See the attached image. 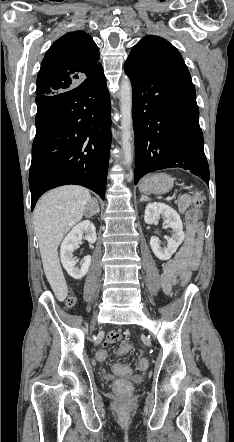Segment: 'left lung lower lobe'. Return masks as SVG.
Here are the masks:
<instances>
[{
	"mask_svg": "<svg viewBox=\"0 0 234 442\" xmlns=\"http://www.w3.org/2000/svg\"><path fill=\"white\" fill-rule=\"evenodd\" d=\"M124 69L133 88L134 183L149 172L179 167L209 185V166L189 71L147 68L129 61Z\"/></svg>",
	"mask_w": 234,
	"mask_h": 442,
	"instance_id": "1",
	"label": "left lung lower lobe"
}]
</instances>
